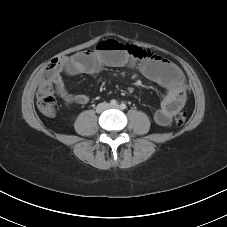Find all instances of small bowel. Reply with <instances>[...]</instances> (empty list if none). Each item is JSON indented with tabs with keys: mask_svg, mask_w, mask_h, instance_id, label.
<instances>
[{
	"mask_svg": "<svg viewBox=\"0 0 227 227\" xmlns=\"http://www.w3.org/2000/svg\"><path fill=\"white\" fill-rule=\"evenodd\" d=\"M139 65L142 74L166 90L159 109L154 114L155 122L168 126L175 113L180 111L186 101L181 70L169 60L151 54L139 59L127 49V45L108 39L100 42L95 49L78 52L70 57L61 58L60 64L49 74V81L55 86L59 97L67 102L86 104L90 101L85 94H71L63 82L62 74H97L103 67H123Z\"/></svg>",
	"mask_w": 227,
	"mask_h": 227,
	"instance_id": "small-bowel-1",
	"label": "small bowel"
}]
</instances>
